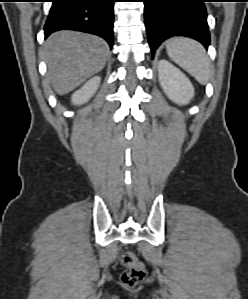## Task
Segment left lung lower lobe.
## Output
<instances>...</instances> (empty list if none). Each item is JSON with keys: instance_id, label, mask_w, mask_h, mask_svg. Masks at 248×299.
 Masks as SVG:
<instances>
[{"instance_id": "0a47b994", "label": "left lung lower lobe", "mask_w": 248, "mask_h": 299, "mask_svg": "<svg viewBox=\"0 0 248 299\" xmlns=\"http://www.w3.org/2000/svg\"><path fill=\"white\" fill-rule=\"evenodd\" d=\"M206 0H143L145 25L152 54L166 39L185 36L210 44Z\"/></svg>"}]
</instances>
